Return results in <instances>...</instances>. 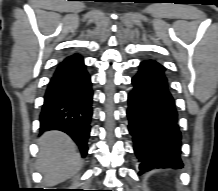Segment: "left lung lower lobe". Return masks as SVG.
<instances>
[{
	"instance_id": "1",
	"label": "left lung lower lobe",
	"mask_w": 218,
	"mask_h": 191,
	"mask_svg": "<svg viewBox=\"0 0 218 191\" xmlns=\"http://www.w3.org/2000/svg\"><path fill=\"white\" fill-rule=\"evenodd\" d=\"M132 84L128 129L139 160V174L154 168H182L181 132L165 68L154 60L143 61Z\"/></svg>"
}]
</instances>
